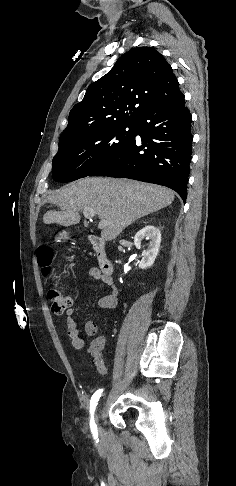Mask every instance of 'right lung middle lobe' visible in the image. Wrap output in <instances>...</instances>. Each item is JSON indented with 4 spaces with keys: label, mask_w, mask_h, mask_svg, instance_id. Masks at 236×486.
Listing matches in <instances>:
<instances>
[{
    "label": "right lung middle lobe",
    "mask_w": 236,
    "mask_h": 486,
    "mask_svg": "<svg viewBox=\"0 0 236 486\" xmlns=\"http://www.w3.org/2000/svg\"><path fill=\"white\" fill-rule=\"evenodd\" d=\"M135 123L92 131L59 143L52 174L57 182L88 176L135 138Z\"/></svg>",
    "instance_id": "obj_1"
}]
</instances>
